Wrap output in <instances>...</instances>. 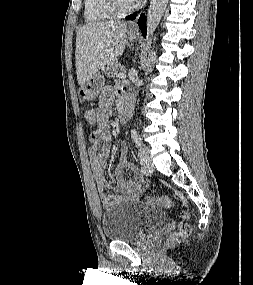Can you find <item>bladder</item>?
<instances>
[{
  "label": "bladder",
  "mask_w": 253,
  "mask_h": 285,
  "mask_svg": "<svg viewBox=\"0 0 253 285\" xmlns=\"http://www.w3.org/2000/svg\"><path fill=\"white\" fill-rule=\"evenodd\" d=\"M166 220V212L139 201H122L102 214V231L106 239L132 242Z\"/></svg>",
  "instance_id": "1"
}]
</instances>
